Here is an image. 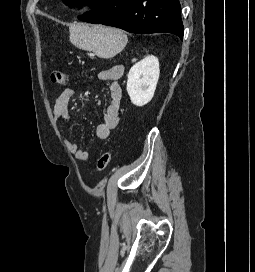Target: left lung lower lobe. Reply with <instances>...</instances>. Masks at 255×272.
Instances as JSON below:
<instances>
[{"label": "left lung lower lobe", "instance_id": "left-lung-lower-lobe-1", "mask_svg": "<svg viewBox=\"0 0 255 272\" xmlns=\"http://www.w3.org/2000/svg\"><path fill=\"white\" fill-rule=\"evenodd\" d=\"M78 19L131 33L167 32L181 40L184 34L179 0H100Z\"/></svg>", "mask_w": 255, "mask_h": 272}]
</instances>
